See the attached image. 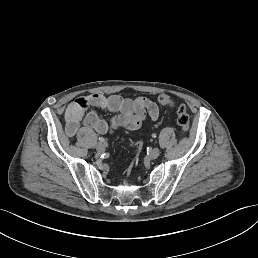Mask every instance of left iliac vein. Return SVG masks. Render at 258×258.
Segmentation results:
<instances>
[{
  "label": "left iliac vein",
  "mask_w": 258,
  "mask_h": 258,
  "mask_svg": "<svg viewBox=\"0 0 258 258\" xmlns=\"http://www.w3.org/2000/svg\"><path fill=\"white\" fill-rule=\"evenodd\" d=\"M160 154V148L159 147H154L151 153L148 154V159L149 160H154L156 159Z\"/></svg>",
  "instance_id": "obj_1"
}]
</instances>
